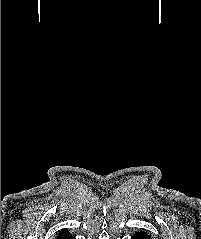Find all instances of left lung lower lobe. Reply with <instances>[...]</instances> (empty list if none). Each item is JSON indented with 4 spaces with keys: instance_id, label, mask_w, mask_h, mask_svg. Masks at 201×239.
<instances>
[{
    "instance_id": "0a47b994",
    "label": "left lung lower lobe",
    "mask_w": 201,
    "mask_h": 239,
    "mask_svg": "<svg viewBox=\"0 0 201 239\" xmlns=\"http://www.w3.org/2000/svg\"><path fill=\"white\" fill-rule=\"evenodd\" d=\"M131 239H150V236L146 232L140 231L135 233Z\"/></svg>"
}]
</instances>
